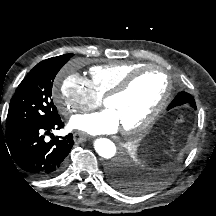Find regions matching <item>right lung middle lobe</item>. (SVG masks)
I'll return each mask as SVG.
<instances>
[{
  "instance_id": "obj_1",
  "label": "right lung middle lobe",
  "mask_w": 216,
  "mask_h": 216,
  "mask_svg": "<svg viewBox=\"0 0 216 216\" xmlns=\"http://www.w3.org/2000/svg\"><path fill=\"white\" fill-rule=\"evenodd\" d=\"M73 54L38 63L23 79L11 99L6 130L23 125L53 121L60 116L53 104L52 85L56 74ZM0 129L2 130L1 121Z\"/></svg>"
}]
</instances>
